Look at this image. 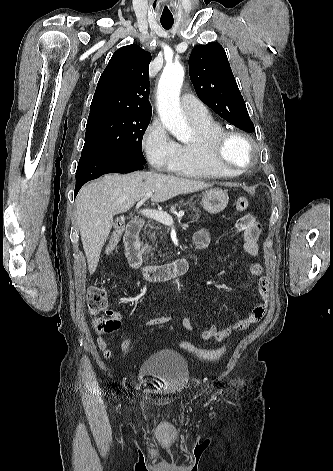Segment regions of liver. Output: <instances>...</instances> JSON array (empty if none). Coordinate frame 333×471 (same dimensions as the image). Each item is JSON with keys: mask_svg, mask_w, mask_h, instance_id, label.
I'll return each instance as SVG.
<instances>
[{"mask_svg": "<svg viewBox=\"0 0 333 471\" xmlns=\"http://www.w3.org/2000/svg\"><path fill=\"white\" fill-rule=\"evenodd\" d=\"M202 181L156 172L108 174L85 185L77 195L76 217L90 274L97 268L101 250L109 236L116 214L128 211L147 192L152 202H164L179 194L211 187Z\"/></svg>", "mask_w": 333, "mask_h": 471, "instance_id": "1", "label": "liver"}]
</instances>
